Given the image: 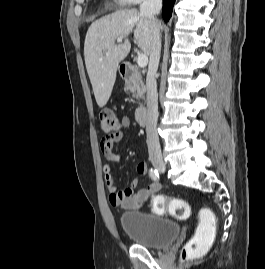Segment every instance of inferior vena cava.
<instances>
[{"mask_svg": "<svg viewBox=\"0 0 265 269\" xmlns=\"http://www.w3.org/2000/svg\"><path fill=\"white\" fill-rule=\"evenodd\" d=\"M162 0H144L140 5V13L147 18L152 25V47L150 52L149 67L146 78L147 85V118H146V142L150 160H162V153L157 133L158 120V94L156 74L161 53V39L158 22L155 15L161 11Z\"/></svg>", "mask_w": 265, "mask_h": 269, "instance_id": "obj_1", "label": "inferior vena cava"}]
</instances>
